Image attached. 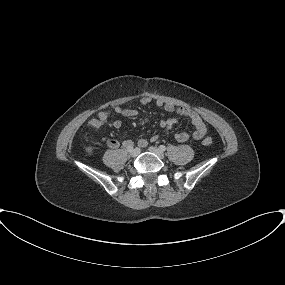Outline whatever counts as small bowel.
Wrapping results in <instances>:
<instances>
[{
	"mask_svg": "<svg viewBox=\"0 0 285 285\" xmlns=\"http://www.w3.org/2000/svg\"><path fill=\"white\" fill-rule=\"evenodd\" d=\"M154 101L155 104L159 107H163L164 110L168 113H176L179 116L187 117L193 127L194 131L190 134L187 132H178L174 135V138L178 142H186L188 139L192 138L194 140H201L205 137L207 133V127L204 123L201 116L194 110H191L189 108L185 107H178L173 105L172 103L165 102L161 99H153L148 96H144L140 99V104L146 105L150 102ZM114 111L116 114L121 115L123 117H134L138 115V111L131 108H123L121 106H117L114 108ZM178 123V120L176 118H167L160 121V126L164 130H170L172 129L176 124ZM103 125H109L115 129H119L122 126V123L120 120H113L109 121L108 114L106 112H100L96 118L91 119L87 126L91 130H97L101 128ZM159 135L154 134L151 136L150 140L152 142L158 140ZM124 146L133 144L131 140H125L122 143ZM138 146L141 148H146L148 146V140L145 138H141L137 142ZM108 145L111 148H118L120 146V142L116 139H110L108 140Z\"/></svg>",
	"mask_w": 285,
	"mask_h": 285,
	"instance_id": "small-bowel-1",
	"label": "small bowel"
}]
</instances>
